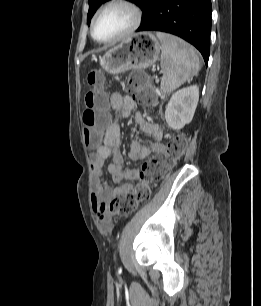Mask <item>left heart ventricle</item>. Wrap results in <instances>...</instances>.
<instances>
[{"label": "left heart ventricle", "instance_id": "b2bd125f", "mask_svg": "<svg viewBox=\"0 0 261 306\" xmlns=\"http://www.w3.org/2000/svg\"><path fill=\"white\" fill-rule=\"evenodd\" d=\"M132 13L123 6H113L98 18L95 36L100 40L109 39L123 33L132 22Z\"/></svg>", "mask_w": 261, "mask_h": 306}]
</instances>
